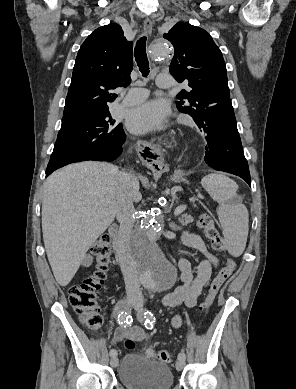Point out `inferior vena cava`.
Segmentation results:
<instances>
[{
  "label": "inferior vena cava",
  "mask_w": 296,
  "mask_h": 389,
  "mask_svg": "<svg viewBox=\"0 0 296 389\" xmlns=\"http://www.w3.org/2000/svg\"><path fill=\"white\" fill-rule=\"evenodd\" d=\"M133 181V175L126 172L118 173L116 217L120 223L119 242L127 252L135 223V209L132 198ZM120 265L124 276L127 298L134 303L141 302L142 292L137 277L136 266L128 253L120 256Z\"/></svg>",
  "instance_id": "inferior-vena-cava-1"
}]
</instances>
